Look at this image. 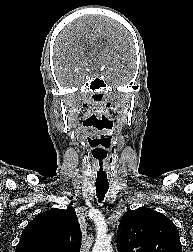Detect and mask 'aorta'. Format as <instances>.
Here are the masks:
<instances>
[{"label": "aorta", "instance_id": "762f6f07", "mask_svg": "<svg viewBox=\"0 0 193 252\" xmlns=\"http://www.w3.org/2000/svg\"><path fill=\"white\" fill-rule=\"evenodd\" d=\"M92 252H113V248L108 240H97Z\"/></svg>", "mask_w": 193, "mask_h": 252}]
</instances>
